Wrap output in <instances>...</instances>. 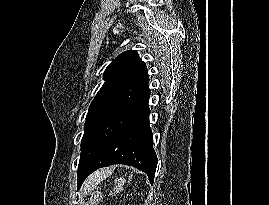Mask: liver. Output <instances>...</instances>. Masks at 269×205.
I'll return each instance as SVG.
<instances>
[{
	"mask_svg": "<svg viewBox=\"0 0 269 205\" xmlns=\"http://www.w3.org/2000/svg\"><path fill=\"white\" fill-rule=\"evenodd\" d=\"M107 175V171L105 170H102V171H99V172H96L94 175H92L90 178H89V181L88 183L91 185V184H95L96 182H99L100 180H102L103 178H105V176Z\"/></svg>",
	"mask_w": 269,
	"mask_h": 205,
	"instance_id": "obj_1",
	"label": "liver"
}]
</instances>
